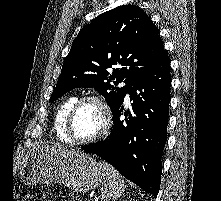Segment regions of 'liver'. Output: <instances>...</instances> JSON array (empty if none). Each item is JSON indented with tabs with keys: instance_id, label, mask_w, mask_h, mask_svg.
I'll use <instances>...</instances> for the list:
<instances>
[{
	"instance_id": "6515ba94",
	"label": "liver",
	"mask_w": 221,
	"mask_h": 201,
	"mask_svg": "<svg viewBox=\"0 0 221 201\" xmlns=\"http://www.w3.org/2000/svg\"><path fill=\"white\" fill-rule=\"evenodd\" d=\"M42 149H48L56 152H70V151H75L73 149H68L63 145L60 144H55L54 146H44Z\"/></svg>"
}]
</instances>
